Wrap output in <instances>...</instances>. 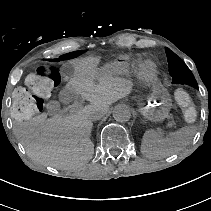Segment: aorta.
Returning <instances> with one entry per match:
<instances>
[{
  "instance_id": "762f6f07",
  "label": "aorta",
  "mask_w": 211,
  "mask_h": 211,
  "mask_svg": "<svg viewBox=\"0 0 211 211\" xmlns=\"http://www.w3.org/2000/svg\"><path fill=\"white\" fill-rule=\"evenodd\" d=\"M113 117L117 122H128L131 118V111L127 105H117L113 110Z\"/></svg>"
}]
</instances>
